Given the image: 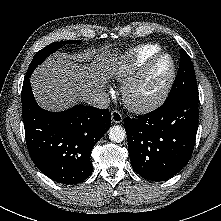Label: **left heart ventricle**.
<instances>
[{
	"label": "left heart ventricle",
	"mask_w": 221,
	"mask_h": 221,
	"mask_svg": "<svg viewBox=\"0 0 221 221\" xmlns=\"http://www.w3.org/2000/svg\"><path fill=\"white\" fill-rule=\"evenodd\" d=\"M170 71V59L168 57L159 59L135 88L134 98L136 100H146L156 95L167 81Z\"/></svg>",
	"instance_id": "left-heart-ventricle-1"
}]
</instances>
